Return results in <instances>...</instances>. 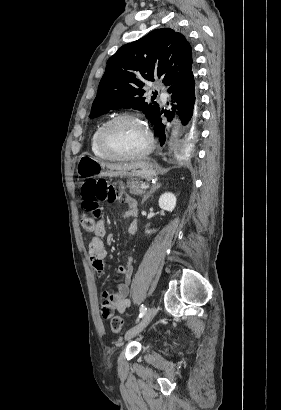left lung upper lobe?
<instances>
[{"label":"left lung upper lobe","instance_id":"5c2ea615","mask_svg":"<svg viewBox=\"0 0 281 410\" xmlns=\"http://www.w3.org/2000/svg\"><path fill=\"white\" fill-rule=\"evenodd\" d=\"M192 71V48L185 36L170 28L153 30L108 59L89 117L133 108L143 111L152 123L160 107L143 97L145 80L161 79L170 87Z\"/></svg>","mask_w":281,"mask_h":410}]
</instances>
